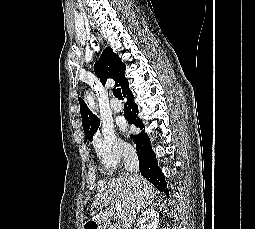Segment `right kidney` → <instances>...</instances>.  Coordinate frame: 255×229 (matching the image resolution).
<instances>
[{
	"mask_svg": "<svg viewBox=\"0 0 255 229\" xmlns=\"http://www.w3.org/2000/svg\"><path fill=\"white\" fill-rule=\"evenodd\" d=\"M159 222V213L154 209H147L138 219L139 229H157Z\"/></svg>",
	"mask_w": 255,
	"mask_h": 229,
	"instance_id": "right-kidney-1",
	"label": "right kidney"
}]
</instances>
